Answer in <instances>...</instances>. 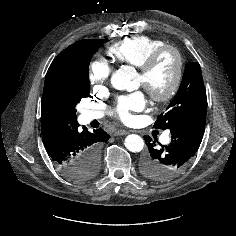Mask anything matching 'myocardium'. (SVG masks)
Segmentation results:
<instances>
[{"label": "myocardium", "instance_id": "obj_1", "mask_svg": "<svg viewBox=\"0 0 236 236\" xmlns=\"http://www.w3.org/2000/svg\"><path fill=\"white\" fill-rule=\"evenodd\" d=\"M167 53H170L175 58V71L169 87L164 91L154 89L148 83L149 76L156 68L160 59ZM184 73V58L181 51L171 45H164L152 52L144 63L139 67V74L143 78V87L147 90L153 100L159 103L170 101L177 93L183 78Z\"/></svg>", "mask_w": 236, "mask_h": 236}]
</instances>
